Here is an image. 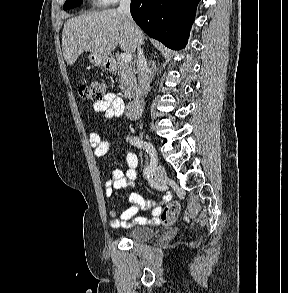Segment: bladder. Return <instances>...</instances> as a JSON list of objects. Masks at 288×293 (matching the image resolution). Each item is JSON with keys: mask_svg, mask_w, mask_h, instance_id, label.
<instances>
[{"mask_svg": "<svg viewBox=\"0 0 288 293\" xmlns=\"http://www.w3.org/2000/svg\"><path fill=\"white\" fill-rule=\"evenodd\" d=\"M154 230L148 226H135L126 232L125 236L134 242H144L154 236Z\"/></svg>", "mask_w": 288, "mask_h": 293, "instance_id": "1", "label": "bladder"}]
</instances>
